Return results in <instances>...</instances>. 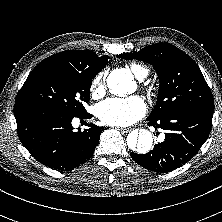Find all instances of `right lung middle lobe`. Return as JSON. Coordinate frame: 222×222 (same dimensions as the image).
<instances>
[{"instance_id":"obj_1","label":"right lung middle lobe","mask_w":222,"mask_h":222,"mask_svg":"<svg viewBox=\"0 0 222 222\" xmlns=\"http://www.w3.org/2000/svg\"><path fill=\"white\" fill-rule=\"evenodd\" d=\"M95 72L50 69L28 76L18 92L15 106L43 105L74 116L87 114L83 103L90 99Z\"/></svg>"}]
</instances>
